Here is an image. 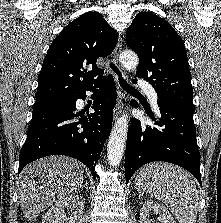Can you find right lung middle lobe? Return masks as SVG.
<instances>
[{
	"label": "right lung middle lobe",
	"instance_id": "right-lung-middle-lobe-1",
	"mask_svg": "<svg viewBox=\"0 0 221 223\" xmlns=\"http://www.w3.org/2000/svg\"><path fill=\"white\" fill-rule=\"evenodd\" d=\"M49 105H51V104H49ZM49 105L34 106L33 110L42 109V108L48 107Z\"/></svg>",
	"mask_w": 221,
	"mask_h": 223
}]
</instances>
